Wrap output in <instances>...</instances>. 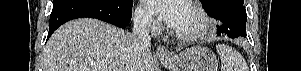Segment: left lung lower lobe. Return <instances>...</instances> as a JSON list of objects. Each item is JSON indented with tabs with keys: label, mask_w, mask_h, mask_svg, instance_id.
<instances>
[{
	"label": "left lung lower lobe",
	"mask_w": 301,
	"mask_h": 71,
	"mask_svg": "<svg viewBox=\"0 0 301 71\" xmlns=\"http://www.w3.org/2000/svg\"><path fill=\"white\" fill-rule=\"evenodd\" d=\"M217 21V36L246 37L247 15L243 4L227 1L209 13Z\"/></svg>",
	"instance_id": "obj_1"
}]
</instances>
